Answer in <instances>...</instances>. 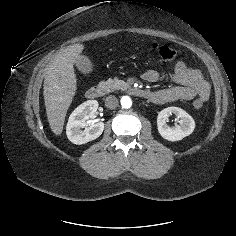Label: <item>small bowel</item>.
Returning a JSON list of instances; mask_svg holds the SVG:
<instances>
[{"instance_id":"obj_1","label":"small bowel","mask_w":236,"mask_h":236,"mask_svg":"<svg viewBox=\"0 0 236 236\" xmlns=\"http://www.w3.org/2000/svg\"><path fill=\"white\" fill-rule=\"evenodd\" d=\"M142 78L148 83L169 78L177 84V86L166 89L148 91L149 94L147 97L157 104L176 100H192L195 97H199L205 102L210 95L209 83L202 73L197 69L188 67L183 61L176 63L174 72L170 76L150 69L142 74Z\"/></svg>"}]
</instances>
